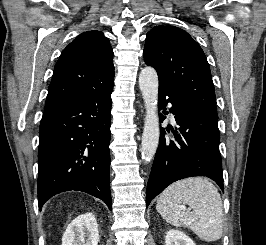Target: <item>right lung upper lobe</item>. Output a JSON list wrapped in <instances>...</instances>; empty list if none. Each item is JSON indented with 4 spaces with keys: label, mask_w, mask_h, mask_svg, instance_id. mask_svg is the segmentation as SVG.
<instances>
[{
    "label": "right lung upper lobe",
    "mask_w": 266,
    "mask_h": 245,
    "mask_svg": "<svg viewBox=\"0 0 266 245\" xmlns=\"http://www.w3.org/2000/svg\"><path fill=\"white\" fill-rule=\"evenodd\" d=\"M113 52L100 31L81 33L63 50L54 67L45 112L69 99L113 86Z\"/></svg>",
    "instance_id": "obj_1"
}]
</instances>
